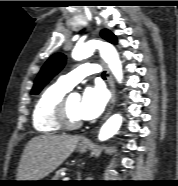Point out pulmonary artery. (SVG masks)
Segmentation results:
<instances>
[{"label": "pulmonary artery", "mask_w": 178, "mask_h": 186, "mask_svg": "<svg viewBox=\"0 0 178 186\" xmlns=\"http://www.w3.org/2000/svg\"><path fill=\"white\" fill-rule=\"evenodd\" d=\"M100 71L101 68L96 64H82L67 75L61 76L58 84L69 91L84 77L90 74H98Z\"/></svg>", "instance_id": "pulmonary-artery-1"}]
</instances>
